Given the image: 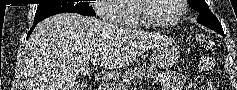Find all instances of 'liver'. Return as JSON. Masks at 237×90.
Returning a JSON list of instances; mask_svg holds the SVG:
<instances>
[{"instance_id":"6515ba94","label":"liver","mask_w":237,"mask_h":90,"mask_svg":"<svg viewBox=\"0 0 237 90\" xmlns=\"http://www.w3.org/2000/svg\"><path fill=\"white\" fill-rule=\"evenodd\" d=\"M162 38L80 14L46 18L26 42V90H83L77 78L91 74L90 62L108 72L125 68Z\"/></svg>"}]
</instances>
